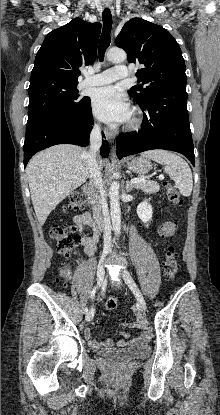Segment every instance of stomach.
Returning <instances> with one entry per match:
<instances>
[{
  "label": "stomach",
  "mask_w": 220,
  "mask_h": 415,
  "mask_svg": "<svg viewBox=\"0 0 220 415\" xmlns=\"http://www.w3.org/2000/svg\"><path fill=\"white\" fill-rule=\"evenodd\" d=\"M127 168L136 174L144 175L152 169V164L143 157H137L127 161Z\"/></svg>",
  "instance_id": "1"
}]
</instances>
